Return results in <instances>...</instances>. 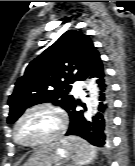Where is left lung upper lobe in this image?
I'll return each instance as SVG.
<instances>
[{"label":"left lung upper lobe","instance_id":"1","mask_svg":"<svg viewBox=\"0 0 135 166\" xmlns=\"http://www.w3.org/2000/svg\"><path fill=\"white\" fill-rule=\"evenodd\" d=\"M98 54L88 35L76 30L65 32L53 45L27 66L9 97V124L36 104L51 102L66 111L74 97L69 95L74 81H80L92 59ZM65 80H62V79Z\"/></svg>","mask_w":135,"mask_h":166}]
</instances>
